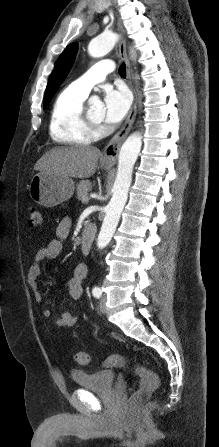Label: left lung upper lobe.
Here are the masks:
<instances>
[{"mask_svg": "<svg viewBox=\"0 0 219 447\" xmlns=\"http://www.w3.org/2000/svg\"><path fill=\"white\" fill-rule=\"evenodd\" d=\"M77 52V43H72L66 47L62 54L57 59L54 70L52 71L44 97V108L48 105L49 101L57 91L59 85L63 82L67 76L71 65L74 61L75 54Z\"/></svg>", "mask_w": 219, "mask_h": 447, "instance_id": "1", "label": "left lung upper lobe"}]
</instances>
